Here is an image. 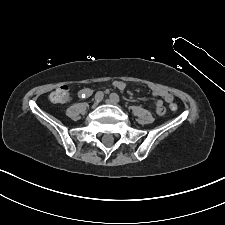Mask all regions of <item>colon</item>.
Returning a JSON list of instances; mask_svg holds the SVG:
<instances>
[{"label": "colon", "mask_w": 225, "mask_h": 225, "mask_svg": "<svg viewBox=\"0 0 225 225\" xmlns=\"http://www.w3.org/2000/svg\"><path fill=\"white\" fill-rule=\"evenodd\" d=\"M70 98V92L69 87L66 84H61L57 86L54 91L50 94V100L53 103H65ZM170 110L176 111L178 109V106L176 103H171L169 106ZM166 107L165 106H159L157 107V113L159 115H164L166 113Z\"/></svg>", "instance_id": "obj_1"}]
</instances>
